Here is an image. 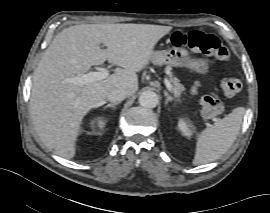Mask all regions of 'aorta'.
<instances>
[{
    "label": "aorta",
    "instance_id": "1",
    "mask_svg": "<svg viewBox=\"0 0 270 213\" xmlns=\"http://www.w3.org/2000/svg\"><path fill=\"white\" fill-rule=\"evenodd\" d=\"M139 104L144 108H154L158 104V96L153 91H144L139 97Z\"/></svg>",
    "mask_w": 270,
    "mask_h": 213
}]
</instances>
